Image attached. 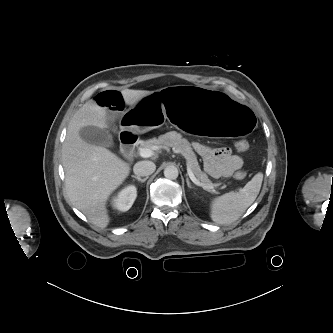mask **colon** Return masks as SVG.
<instances>
[{
	"mask_svg": "<svg viewBox=\"0 0 333 333\" xmlns=\"http://www.w3.org/2000/svg\"><path fill=\"white\" fill-rule=\"evenodd\" d=\"M249 147V144L246 140H239L237 143H236V148L238 151H246ZM246 177V173L244 171H237L235 173V178L237 180H243L244 178Z\"/></svg>",
	"mask_w": 333,
	"mask_h": 333,
	"instance_id": "obj_1",
	"label": "colon"
}]
</instances>
